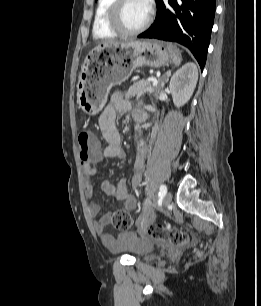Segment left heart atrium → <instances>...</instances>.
I'll use <instances>...</instances> for the list:
<instances>
[{
    "instance_id": "left-heart-atrium-1",
    "label": "left heart atrium",
    "mask_w": 261,
    "mask_h": 306,
    "mask_svg": "<svg viewBox=\"0 0 261 306\" xmlns=\"http://www.w3.org/2000/svg\"><path fill=\"white\" fill-rule=\"evenodd\" d=\"M146 2V4L148 5V0H144Z\"/></svg>"
}]
</instances>
